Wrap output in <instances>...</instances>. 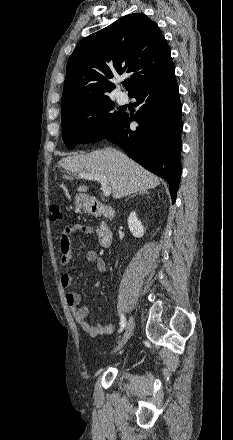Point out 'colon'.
<instances>
[{"label": "colon", "instance_id": "colon-1", "mask_svg": "<svg viewBox=\"0 0 233 440\" xmlns=\"http://www.w3.org/2000/svg\"><path fill=\"white\" fill-rule=\"evenodd\" d=\"M50 218L52 222L60 223L63 221V213L60 205L52 204L50 206Z\"/></svg>", "mask_w": 233, "mask_h": 440}]
</instances>
